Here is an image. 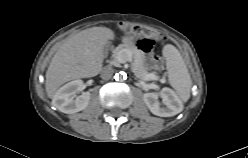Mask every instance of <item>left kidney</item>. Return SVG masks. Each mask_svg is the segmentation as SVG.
<instances>
[{"label":"left kidney","instance_id":"1","mask_svg":"<svg viewBox=\"0 0 248 158\" xmlns=\"http://www.w3.org/2000/svg\"><path fill=\"white\" fill-rule=\"evenodd\" d=\"M162 99V103L159 102ZM143 100L150 111L157 116L170 117L180 113L182 103L175 92L170 88H163L159 92H148L143 95Z\"/></svg>","mask_w":248,"mask_h":158}]
</instances>
